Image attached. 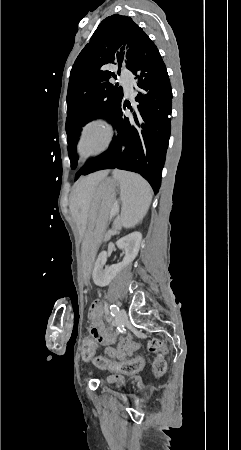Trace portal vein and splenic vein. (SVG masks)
Here are the masks:
<instances>
[{"label":"portal vein and splenic vein","mask_w":241,"mask_h":450,"mask_svg":"<svg viewBox=\"0 0 241 450\" xmlns=\"http://www.w3.org/2000/svg\"><path fill=\"white\" fill-rule=\"evenodd\" d=\"M111 212L112 213H119L120 209H119V203L118 202H113V204L111 205Z\"/></svg>","instance_id":"1"}]
</instances>
